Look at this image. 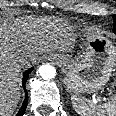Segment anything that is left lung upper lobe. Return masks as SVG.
Returning <instances> with one entry per match:
<instances>
[{"mask_svg": "<svg viewBox=\"0 0 116 116\" xmlns=\"http://www.w3.org/2000/svg\"><path fill=\"white\" fill-rule=\"evenodd\" d=\"M113 19H114V33H116V15L113 16Z\"/></svg>", "mask_w": 116, "mask_h": 116, "instance_id": "obj_1", "label": "left lung upper lobe"}]
</instances>
